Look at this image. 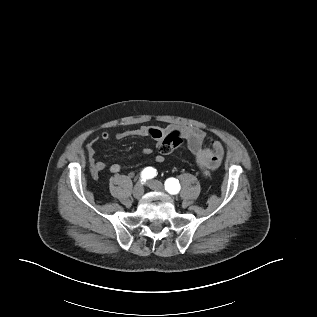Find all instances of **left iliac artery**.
Returning a JSON list of instances; mask_svg holds the SVG:
<instances>
[{
    "instance_id": "1",
    "label": "left iliac artery",
    "mask_w": 317,
    "mask_h": 317,
    "mask_svg": "<svg viewBox=\"0 0 317 317\" xmlns=\"http://www.w3.org/2000/svg\"><path fill=\"white\" fill-rule=\"evenodd\" d=\"M180 184L179 181L175 178H169L165 181V189L170 193V194H176L180 191Z\"/></svg>"
}]
</instances>
